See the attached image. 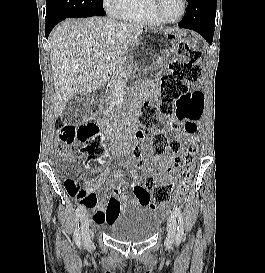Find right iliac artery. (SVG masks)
<instances>
[{
  "instance_id": "82829eb1",
  "label": "right iliac artery",
  "mask_w": 265,
  "mask_h": 273,
  "mask_svg": "<svg viewBox=\"0 0 265 273\" xmlns=\"http://www.w3.org/2000/svg\"><path fill=\"white\" fill-rule=\"evenodd\" d=\"M85 207L80 205L77 209H76V221H78L79 217L82 215V213L84 212ZM74 241L76 243V245L78 247L81 246V236H80V231H79V225L78 227L76 226L75 230H74Z\"/></svg>"
}]
</instances>
